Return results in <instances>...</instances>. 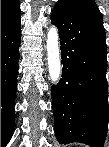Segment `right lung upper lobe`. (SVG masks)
Here are the masks:
<instances>
[{
    "instance_id": "right-lung-upper-lobe-1",
    "label": "right lung upper lobe",
    "mask_w": 109,
    "mask_h": 147,
    "mask_svg": "<svg viewBox=\"0 0 109 147\" xmlns=\"http://www.w3.org/2000/svg\"><path fill=\"white\" fill-rule=\"evenodd\" d=\"M18 0H1V27L20 16Z\"/></svg>"
}]
</instances>
